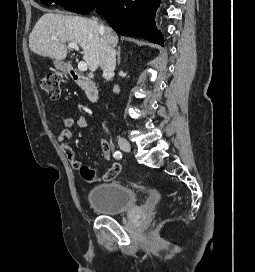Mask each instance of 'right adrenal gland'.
<instances>
[{
	"label": "right adrenal gland",
	"mask_w": 255,
	"mask_h": 272,
	"mask_svg": "<svg viewBox=\"0 0 255 272\" xmlns=\"http://www.w3.org/2000/svg\"><path fill=\"white\" fill-rule=\"evenodd\" d=\"M120 51H121V48H120V46H119V47H118V51H117L118 65H120V62H121Z\"/></svg>",
	"instance_id": "right-adrenal-gland-1"
}]
</instances>
